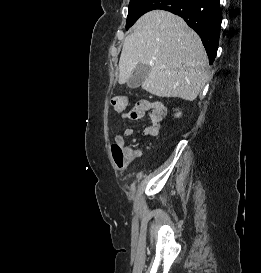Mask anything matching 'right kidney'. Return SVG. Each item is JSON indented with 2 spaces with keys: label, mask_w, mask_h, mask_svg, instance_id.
<instances>
[{
  "label": "right kidney",
  "mask_w": 261,
  "mask_h": 273,
  "mask_svg": "<svg viewBox=\"0 0 261 273\" xmlns=\"http://www.w3.org/2000/svg\"><path fill=\"white\" fill-rule=\"evenodd\" d=\"M181 115V113H177L176 116L179 117Z\"/></svg>",
  "instance_id": "1"
}]
</instances>
